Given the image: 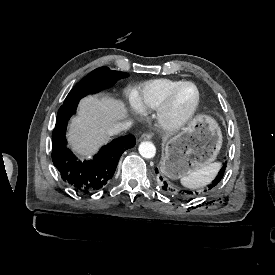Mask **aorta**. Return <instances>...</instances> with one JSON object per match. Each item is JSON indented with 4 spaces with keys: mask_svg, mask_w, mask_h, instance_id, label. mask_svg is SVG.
I'll return each mask as SVG.
<instances>
[{
    "mask_svg": "<svg viewBox=\"0 0 275 275\" xmlns=\"http://www.w3.org/2000/svg\"><path fill=\"white\" fill-rule=\"evenodd\" d=\"M139 153L144 158H153L156 154V147L150 141H143L138 147Z\"/></svg>",
    "mask_w": 275,
    "mask_h": 275,
    "instance_id": "762f6f07",
    "label": "aorta"
}]
</instances>
